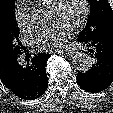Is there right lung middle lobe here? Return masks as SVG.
Instances as JSON below:
<instances>
[{"instance_id":"right-lung-middle-lobe-1","label":"right lung middle lobe","mask_w":113,"mask_h":113,"mask_svg":"<svg viewBox=\"0 0 113 113\" xmlns=\"http://www.w3.org/2000/svg\"><path fill=\"white\" fill-rule=\"evenodd\" d=\"M14 2V0L0 1V64L4 66L25 49L19 40Z\"/></svg>"}]
</instances>
